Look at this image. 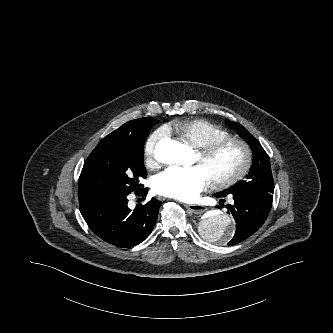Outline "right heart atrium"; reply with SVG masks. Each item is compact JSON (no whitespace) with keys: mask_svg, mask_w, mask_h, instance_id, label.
<instances>
[{"mask_svg":"<svg viewBox=\"0 0 333 333\" xmlns=\"http://www.w3.org/2000/svg\"><path fill=\"white\" fill-rule=\"evenodd\" d=\"M163 133L156 131L149 136L144 145V161L147 167L152 168L157 165V158L155 154L156 146L162 138Z\"/></svg>","mask_w":333,"mask_h":333,"instance_id":"1","label":"right heart atrium"}]
</instances>
